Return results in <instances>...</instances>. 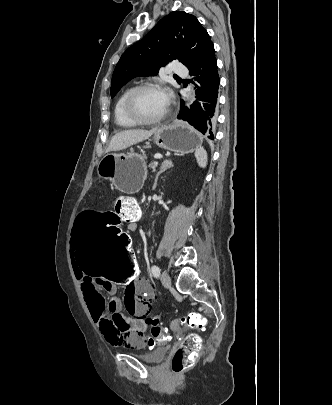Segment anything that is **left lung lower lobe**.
Instances as JSON below:
<instances>
[{
    "label": "left lung lower lobe",
    "instance_id": "0a47b994",
    "mask_svg": "<svg viewBox=\"0 0 332 405\" xmlns=\"http://www.w3.org/2000/svg\"><path fill=\"white\" fill-rule=\"evenodd\" d=\"M217 61L213 43L206 48L199 59L189 68L192 75L196 76L199 87L196 90L197 100L191 105L189 110L185 103L181 101L179 119L188 121L202 134H207L208 138L214 139L218 114V88L220 83L217 71Z\"/></svg>",
    "mask_w": 332,
    "mask_h": 405
}]
</instances>
